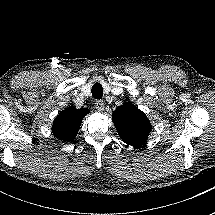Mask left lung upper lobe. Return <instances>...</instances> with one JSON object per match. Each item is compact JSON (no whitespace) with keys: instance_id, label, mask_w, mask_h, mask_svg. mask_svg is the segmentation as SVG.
I'll use <instances>...</instances> for the list:
<instances>
[{"instance_id":"5c2ea615","label":"left lung upper lobe","mask_w":215,"mask_h":215,"mask_svg":"<svg viewBox=\"0 0 215 215\" xmlns=\"http://www.w3.org/2000/svg\"><path fill=\"white\" fill-rule=\"evenodd\" d=\"M112 120L121 139L133 147L142 146L151 132V124L146 115L128 102L113 112Z\"/></svg>"}]
</instances>
